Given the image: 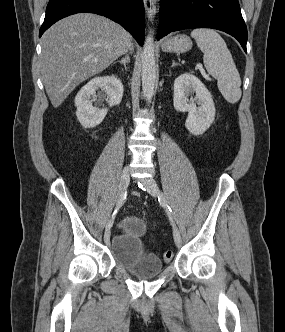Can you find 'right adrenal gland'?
<instances>
[{
	"mask_svg": "<svg viewBox=\"0 0 285 332\" xmlns=\"http://www.w3.org/2000/svg\"><path fill=\"white\" fill-rule=\"evenodd\" d=\"M130 62L129 56L126 54L125 57L121 59V61H116L114 63H120L124 66L125 70H127V64Z\"/></svg>",
	"mask_w": 285,
	"mask_h": 332,
	"instance_id": "2a0ac1e0",
	"label": "right adrenal gland"
}]
</instances>
